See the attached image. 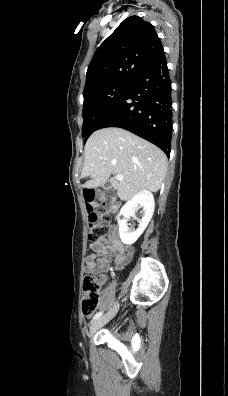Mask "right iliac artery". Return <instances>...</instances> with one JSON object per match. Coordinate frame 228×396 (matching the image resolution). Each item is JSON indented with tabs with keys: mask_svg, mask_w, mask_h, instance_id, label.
Listing matches in <instances>:
<instances>
[{
	"mask_svg": "<svg viewBox=\"0 0 228 396\" xmlns=\"http://www.w3.org/2000/svg\"><path fill=\"white\" fill-rule=\"evenodd\" d=\"M102 313H103L102 311L96 313V314L94 315V317H93V321L96 320V319H98V318L102 315Z\"/></svg>",
	"mask_w": 228,
	"mask_h": 396,
	"instance_id": "obj_1",
	"label": "right iliac artery"
}]
</instances>
